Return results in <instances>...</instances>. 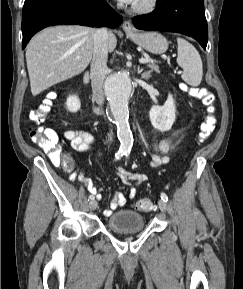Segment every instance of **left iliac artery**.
I'll return each instance as SVG.
<instances>
[{"instance_id":"1","label":"left iliac artery","mask_w":243,"mask_h":289,"mask_svg":"<svg viewBox=\"0 0 243 289\" xmlns=\"http://www.w3.org/2000/svg\"><path fill=\"white\" fill-rule=\"evenodd\" d=\"M125 155L128 157L129 152H126ZM161 199L164 200L165 202L168 201V196L166 195V193H164V192L161 193Z\"/></svg>"}]
</instances>
